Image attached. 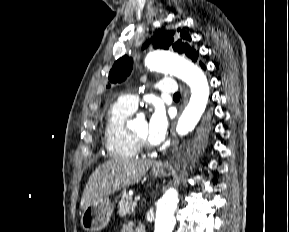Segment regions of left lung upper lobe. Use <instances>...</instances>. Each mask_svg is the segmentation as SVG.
<instances>
[{"mask_svg":"<svg viewBox=\"0 0 289 232\" xmlns=\"http://www.w3.org/2000/svg\"><path fill=\"white\" fill-rule=\"evenodd\" d=\"M180 31V29H178ZM156 40L153 42V47L155 49H168L172 47L174 51L185 54L187 57L196 61L198 58V52L195 51L190 45L191 41L190 35L182 30L180 32V37L174 33V31H163L155 35ZM149 44L147 41L143 45V49L146 48ZM133 68V59L127 55L119 58L113 65L109 73V81L111 83H120L127 79L131 74Z\"/></svg>","mask_w":289,"mask_h":232,"instance_id":"left-lung-upper-lobe-1","label":"left lung upper lobe"}]
</instances>
